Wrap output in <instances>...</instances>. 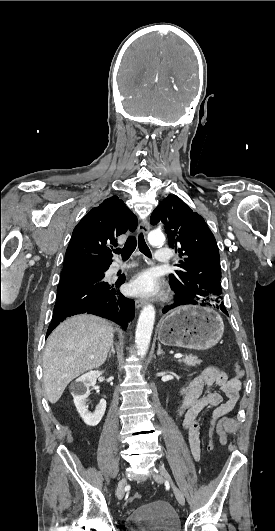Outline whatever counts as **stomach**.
Masks as SVG:
<instances>
[{
	"instance_id": "1",
	"label": "stomach",
	"mask_w": 275,
	"mask_h": 531,
	"mask_svg": "<svg viewBox=\"0 0 275 531\" xmlns=\"http://www.w3.org/2000/svg\"><path fill=\"white\" fill-rule=\"evenodd\" d=\"M224 333L219 313L202 307L201 301H186L173 309L158 325V339L167 347L206 351L214 347Z\"/></svg>"
}]
</instances>
